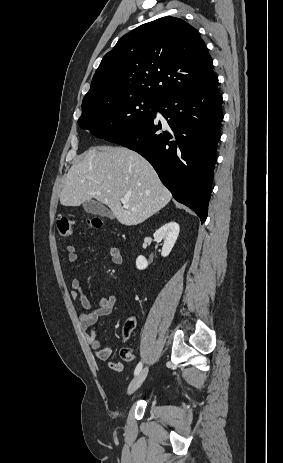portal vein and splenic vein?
<instances>
[{
  "instance_id": "obj_1",
  "label": "portal vein and splenic vein",
  "mask_w": 283,
  "mask_h": 463,
  "mask_svg": "<svg viewBox=\"0 0 283 463\" xmlns=\"http://www.w3.org/2000/svg\"><path fill=\"white\" fill-rule=\"evenodd\" d=\"M121 203L124 207H128V201L126 199H121Z\"/></svg>"
}]
</instances>
